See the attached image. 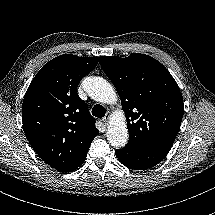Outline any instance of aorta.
<instances>
[{
    "instance_id": "1",
    "label": "aorta",
    "mask_w": 215,
    "mask_h": 215,
    "mask_svg": "<svg viewBox=\"0 0 215 215\" xmlns=\"http://www.w3.org/2000/svg\"><path fill=\"white\" fill-rule=\"evenodd\" d=\"M89 95L91 98L101 103L114 104L118 100L115 88L101 77L92 79ZM128 137L127 121L123 112H121L118 118L113 123L109 124L107 140L114 147L120 148L128 142Z\"/></svg>"
}]
</instances>
